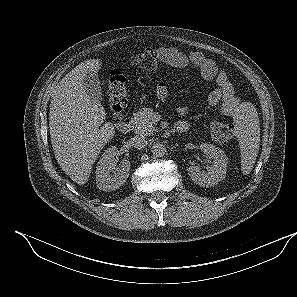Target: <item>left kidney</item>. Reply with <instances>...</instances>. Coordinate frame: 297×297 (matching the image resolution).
Instances as JSON below:
<instances>
[{
    "mask_svg": "<svg viewBox=\"0 0 297 297\" xmlns=\"http://www.w3.org/2000/svg\"><path fill=\"white\" fill-rule=\"evenodd\" d=\"M201 151L208 159L207 171H201L199 166H190L187 171L190 178L200 186L217 185L226 176L228 159L223 150L213 144L203 143Z\"/></svg>",
    "mask_w": 297,
    "mask_h": 297,
    "instance_id": "5707ae66",
    "label": "left kidney"
}]
</instances>
